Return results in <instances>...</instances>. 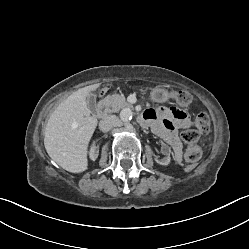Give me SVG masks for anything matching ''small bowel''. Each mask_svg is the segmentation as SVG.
I'll list each match as a JSON object with an SVG mask.
<instances>
[{"label": "small bowel", "instance_id": "c3829d8e", "mask_svg": "<svg viewBox=\"0 0 249 249\" xmlns=\"http://www.w3.org/2000/svg\"><path fill=\"white\" fill-rule=\"evenodd\" d=\"M143 118L172 147L175 158L180 160L182 146L177 137V130L190 127L191 119L189 115L177 107H159L145 110Z\"/></svg>", "mask_w": 249, "mask_h": 249}]
</instances>
